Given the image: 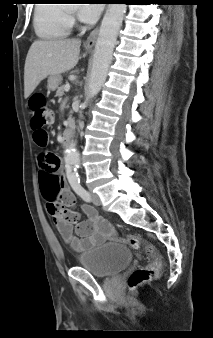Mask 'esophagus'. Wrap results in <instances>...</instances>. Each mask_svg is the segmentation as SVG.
I'll list each match as a JSON object with an SVG mask.
<instances>
[{
  "mask_svg": "<svg viewBox=\"0 0 213 338\" xmlns=\"http://www.w3.org/2000/svg\"><path fill=\"white\" fill-rule=\"evenodd\" d=\"M98 35V27L95 28L85 41V47H93Z\"/></svg>",
  "mask_w": 213,
  "mask_h": 338,
  "instance_id": "obj_1",
  "label": "esophagus"
}]
</instances>
